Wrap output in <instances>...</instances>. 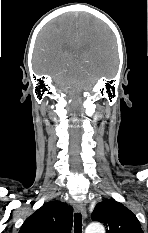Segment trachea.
Listing matches in <instances>:
<instances>
[{"instance_id": "trachea-1", "label": "trachea", "mask_w": 148, "mask_h": 233, "mask_svg": "<svg viewBox=\"0 0 148 233\" xmlns=\"http://www.w3.org/2000/svg\"><path fill=\"white\" fill-rule=\"evenodd\" d=\"M74 233H82V215L76 213L74 215Z\"/></svg>"}]
</instances>
